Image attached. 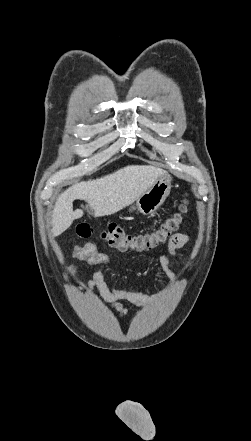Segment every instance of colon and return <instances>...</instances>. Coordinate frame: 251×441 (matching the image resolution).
<instances>
[{"mask_svg":"<svg viewBox=\"0 0 251 441\" xmlns=\"http://www.w3.org/2000/svg\"><path fill=\"white\" fill-rule=\"evenodd\" d=\"M179 212L165 219L156 229L131 234L116 223H107L104 227L96 228L92 224L79 223L75 232L80 238H88L98 233L110 246L120 251H146L169 240L183 223L184 214L188 210V202L184 200Z\"/></svg>","mask_w":251,"mask_h":441,"instance_id":"colon-1","label":"colon"}]
</instances>
